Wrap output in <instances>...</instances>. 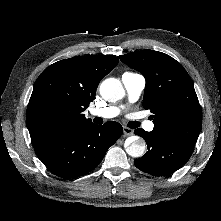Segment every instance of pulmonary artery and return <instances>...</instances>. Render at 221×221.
Here are the masks:
<instances>
[{"label":"pulmonary artery","mask_w":221,"mask_h":221,"mask_svg":"<svg viewBox=\"0 0 221 221\" xmlns=\"http://www.w3.org/2000/svg\"><path fill=\"white\" fill-rule=\"evenodd\" d=\"M122 83L128 95L130 102H135L140 97L145 88V78L137 73L126 72L121 77ZM121 109L116 106H108L104 108H96L90 111V115L93 117H100L103 119H110L118 116ZM144 128L148 131H152L154 128L153 122H145Z\"/></svg>","instance_id":"obj_1"}]
</instances>
